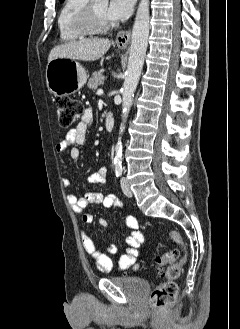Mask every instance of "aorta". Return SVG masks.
<instances>
[{
  "instance_id": "1",
  "label": "aorta",
  "mask_w": 240,
  "mask_h": 329,
  "mask_svg": "<svg viewBox=\"0 0 240 329\" xmlns=\"http://www.w3.org/2000/svg\"><path fill=\"white\" fill-rule=\"evenodd\" d=\"M108 2V0H96ZM150 11L149 0H141L137 9L135 22L132 30L131 47L128 59V66L122 87V123L119 134L125 130V122L133 103L134 93L136 91L139 78L144 65L146 50L148 46V37L150 30ZM122 157L121 138L115 146L114 164L120 165Z\"/></svg>"
}]
</instances>
